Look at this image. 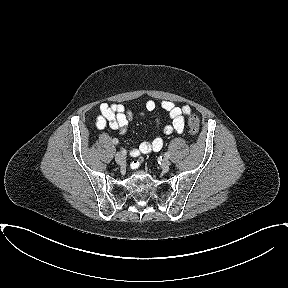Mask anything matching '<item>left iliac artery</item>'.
<instances>
[{
    "label": "left iliac artery",
    "mask_w": 288,
    "mask_h": 288,
    "mask_svg": "<svg viewBox=\"0 0 288 288\" xmlns=\"http://www.w3.org/2000/svg\"><path fill=\"white\" fill-rule=\"evenodd\" d=\"M164 156H165V158H169V157H170L169 152H166V153L164 154Z\"/></svg>",
    "instance_id": "1"
}]
</instances>
